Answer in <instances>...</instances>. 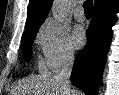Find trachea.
Segmentation results:
<instances>
[{
    "instance_id": "1",
    "label": "trachea",
    "mask_w": 119,
    "mask_h": 95,
    "mask_svg": "<svg viewBox=\"0 0 119 95\" xmlns=\"http://www.w3.org/2000/svg\"><path fill=\"white\" fill-rule=\"evenodd\" d=\"M84 12L86 15H92V1L86 0L83 4Z\"/></svg>"
}]
</instances>
